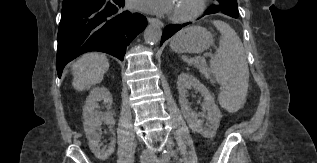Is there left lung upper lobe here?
I'll return each instance as SVG.
<instances>
[{"label": "left lung upper lobe", "mask_w": 317, "mask_h": 163, "mask_svg": "<svg viewBox=\"0 0 317 163\" xmlns=\"http://www.w3.org/2000/svg\"><path fill=\"white\" fill-rule=\"evenodd\" d=\"M219 5H212L207 11L210 13L222 12L229 16L238 17L237 0H217Z\"/></svg>", "instance_id": "obj_1"}]
</instances>
